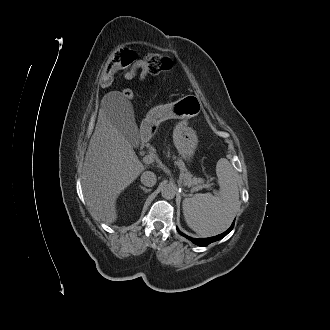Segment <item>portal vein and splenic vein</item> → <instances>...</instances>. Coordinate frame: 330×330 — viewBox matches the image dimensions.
I'll return each mask as SVG.
<instances>
[{
	"instance_id": "obj_1",
	"label": "portal vein and splenic vein",
	"mask_w": 330,
	"mask_h": 330,
	"mask_svg": "<svg viewBox=\"0 0 330 330\" xmlns=\"http://www.w3.org/2000/svg\"><path fill=\"white\" fill-rule=\"evenodd\" d=\"M143 162L146 164H151L154 162V157L152 155H145L143 157ZM211 185L210 184H203V185H199L197 187L194 188V190H199L201 188H210Z\"/></svg>"
}]
</instances>
